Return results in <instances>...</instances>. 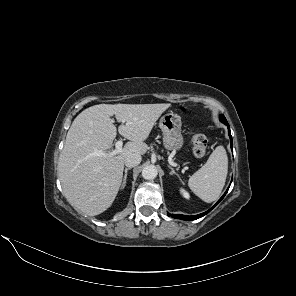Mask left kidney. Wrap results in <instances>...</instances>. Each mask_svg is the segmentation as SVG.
<instances>
[{"label": "left kidney", "mask_w": 296, "mask_h": 296, "mask_svg": "<svg viewBox=\"0 0 296 296\" xmlns=\"http://www.w3.org/2000/svg\"><path fill=\"white\" fill-rule=\"evenodd\" d=\"M180 193L184 198L189 199L190 195L185 189H180Z\"/></svg>", "instance_id": "left-kidney-1"}]
</instances>
